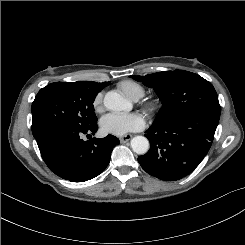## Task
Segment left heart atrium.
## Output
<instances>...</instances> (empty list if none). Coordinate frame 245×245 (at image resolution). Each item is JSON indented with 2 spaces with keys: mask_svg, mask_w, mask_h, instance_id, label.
<instances>
[{
  "mask_svg": "<svg viewBox=\"0 0 245 245\" xmlns=\"http://www.w3.org/2000/svg\"><path fill=\"white\" fill-rule=\"evenodd\" d=\"M144 125V118L138 113H109L100 120L101 130L115 136H124L140 130Z\"/></svg>",
  "mask_w": 245,
  "mask_h": 245,
  "instance_id": "39dd6f15",
  "label": "left heart atrium"
}]
</instances>
